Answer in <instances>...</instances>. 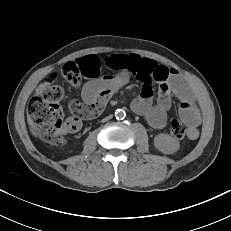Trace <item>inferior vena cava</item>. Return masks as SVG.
I'll return each mask as SVG.
<instances>
[{
	"instance_id": "1",
	"label": "inferior vena cava",
	"mask_w": 231,
	"mask_h": 231,
	"mask_svg": "<svg viewBox=\"0 0 231 231\" xmlns=\"http://www.w3.org/2000/svg\"><path fill=\"white\" fill-rule=\"evenodd\" d=\"M111 118H112V115H109V116H107V117L104 119V121L109 120V119H111Z\"/></svg>"
}]
</instances>
